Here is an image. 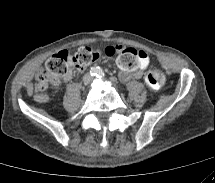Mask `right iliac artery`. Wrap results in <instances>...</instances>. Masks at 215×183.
Masks as SVG:
<instances>
[{
	"instance_id": "right-iliac-artery-1",
	"label": "right iliac artery",
	"mask_w": 215,
	"mask_h": 183,
	"mask_svg": "<svg viewBox=\"0 0 215 183\" xmlns=\"http://www.w3.org/2000/svg\"><path fill=\"white\" fill-rule=\"evenodd\" d=\"M90 73L92 76H97L98 75V69L97 68H91Z\"/></svg>"
}]
</instances>
